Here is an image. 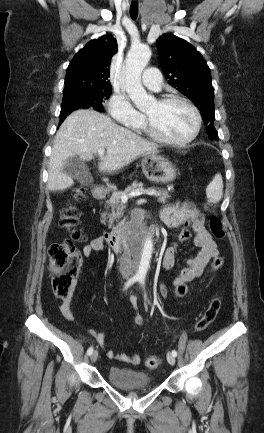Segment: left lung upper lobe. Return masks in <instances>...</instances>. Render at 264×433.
Here are the masks:
<instances>
[{"instance_id":"5c2ea615","label":"left lung upper lobe","mask_w":264,"mask_h":433,"mask_svg":"<svg viewBox=\"0 0 264 433\" xmlns=\"http://www.w3.org/2000/svg\"><path fill=\"white\" fill-rule=\"evenodd\" d=\"M157 48L159 62L169 84L194 102L207 124L208 136L218 140L214 127L211 73L201 53L191 44L173 34L160 36L157 39Z\"/></svg>"}]
</instances>
